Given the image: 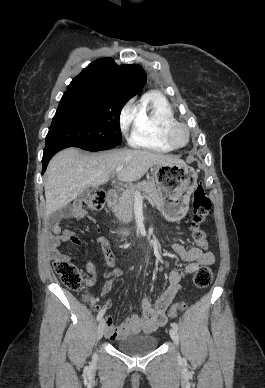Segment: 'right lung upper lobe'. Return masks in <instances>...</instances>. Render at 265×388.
<instances>
[{
	"label": "right lung upper lobe",
	"instance_id": "right-lung-upper-lobe-1",
	"mask_svg": "<svg viewBox=\"0 0 265 388\" xmlns=\"http://www.w3.org/2000/svg\"><path fill=\"white\" fill-rule=\"evenodd\" d=\"M146 83V73L135 64L117 65L111 58L90 63L65 93H110L132 98Z\"/></svg>",
	"mask_w": 265,
	"mask_h": 388
}]
</instances>
